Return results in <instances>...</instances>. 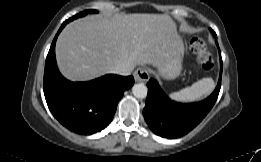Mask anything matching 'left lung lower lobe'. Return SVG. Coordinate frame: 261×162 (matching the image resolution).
<instances>
[{
  "label": "left lung lower lobe",
  "mask_w": 261,
  "mask_h": 162,
  "mask_svg": "<svg viewBox=\"0 0 261 162\" xmlns=\"http://www.w3.org/2000/svg\"><path fill=\"white\" fill-rule=\"evenodd\" d=\"M216 44L218 46L217 42ZM220 62L221 70L218 85L215 91L201 102L182 104L172 101L154 78L149 80L143 115L149 128L156 135L164 138L181 137L195 128L205 118L215 104L220 91L222 76L221 54Z\"/></svg>",
  "instance_id": "1"
}]
</instances>
